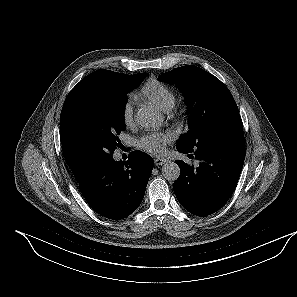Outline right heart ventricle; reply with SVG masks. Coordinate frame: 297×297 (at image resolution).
I'll return each mask as SVG.
<instances>
[{"label":"right heart ventricle","mask_w":297,"mask_h":297,"mask_svg":"<svg viewBox=\"0 0 297 297\" xmlns=\"http://www.w3.org/2000/svg\"><path fill=\"white\" fill-rule=\"evenodd\" d=\"M140 94L148 101L155 103L164 111L170 110L175 104V95L172 89L156 79L147 81L142 86Z\"/></svg>","instance_id":"e07e8e85"}]
</instances>
